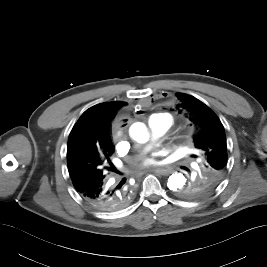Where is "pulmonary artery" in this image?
<instances>
[{"instance_id": "obj_1", "label": "pulmonary artery", "mask_w": 267, "mask_h": 267, "mask_svg": "<svg viewBox=\"0 0 267 267\" xmlns=\"http://www.w3.org/2000/svg\"><path fill=\"white\" fill-rule=\"evenodd\" d=\"M157 117H152L149 120V128L153 139L163 136L170 128L171 118L163 113Z\"/></svg>"}]
</instances>
